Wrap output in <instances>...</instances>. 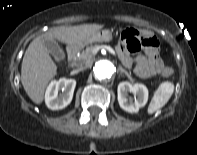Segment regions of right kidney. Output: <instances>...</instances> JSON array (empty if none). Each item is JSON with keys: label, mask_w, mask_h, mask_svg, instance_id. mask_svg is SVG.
Segmentation results:
<instances>
[{"label": "right kidney", "mask_w": 197, "mask_h": 155, "mask_svg": "<svg viewBox=\"0 0 197 155\" xmlns=\"http://www.w3.org/2000/svg\"><path fill=\"white\" fill-rule=\"evenodd\" d=\"M76 81L74 79L61 78L52 81L45 93V103L51 110H60L65 108L73 98ZM62 90V93H58Z\"/></svg>", "instance_id": "obj_1"}]
</instances>
